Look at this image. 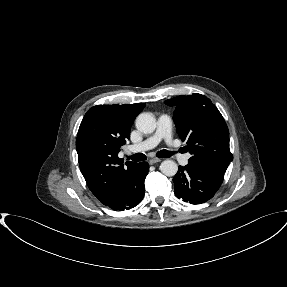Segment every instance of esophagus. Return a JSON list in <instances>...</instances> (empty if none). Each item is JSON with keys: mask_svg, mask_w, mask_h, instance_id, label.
<instances>
[{"mask_svg": "<svg viewBox=\"0 0 287 287\" xmlns=\"http://www.w3.org/2000/svg\"><path fill=\"white\" fill-rule=\"evenodd\" d=\"M161 161H162V160L159 159V158H152V159L149 160V164H150V165H153V164L159 163V162H161Z\"/></svg>", "mask_w": 287, "mask_h": 287, "instance_id": "obj_1", "label": "esophagus"}]
</instances>
